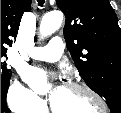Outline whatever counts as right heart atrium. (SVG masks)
I'll return each instance as SVG.
<instances>
[{
    "mask_svg": "<svg viewBox=\"0 0 121 113\" xmlns=\"http://www.w3.org/2000/svg\"><path fill=\"white\" fill-rule=\"evenodd\" d=\"M8 103L12 110L20 113H39L45 108L44 102L19 81L10 86Z\"/></svg>",
    "mask_w": 121,
    "mask_h": 113,
    "instance_id": "1",
    "label": "right heart atrium"
}]
</instances>
